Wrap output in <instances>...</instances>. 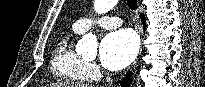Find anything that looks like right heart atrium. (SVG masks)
I'll return each mask as SVG.
<instances>
[{
    "label": "right heart atrium",
    "instance_id": "1",
    "mask_svg": "<svg viewBox=\"0 0 205 87\" xmlns=\"http://www.w3.org/2000/svg\"><path fill=\"white\" fill-rule=\"evenodd\" d=\"M83 71L87 78H96L100 73L98 66L94 62H85Z\"/></svg>",
    "mask_w": 205,
    "mask_h": 87
}]
</instances>
